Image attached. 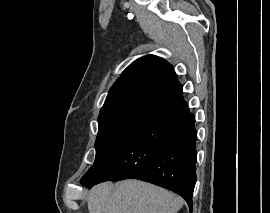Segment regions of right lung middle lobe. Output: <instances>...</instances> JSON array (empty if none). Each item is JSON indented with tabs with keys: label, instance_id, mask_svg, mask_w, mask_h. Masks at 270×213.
<instances>
[{
	"label": "right lung middle lobe",
	"instance_id": "1",
	"mask_svg": "<svg viewBox=\"0 0 270 213\" xmlns=\"http://www.w3.org/2000/svg\"><path fill=\"white\" fill-rule=\"evenodd\" d=\"M155 106L145 102L131 103L99 115L95 161L81 183L93 178L108 164Z\"/></svg>",
	"mask_w": 270,
	"mask_h": 213
}]
</instances>
